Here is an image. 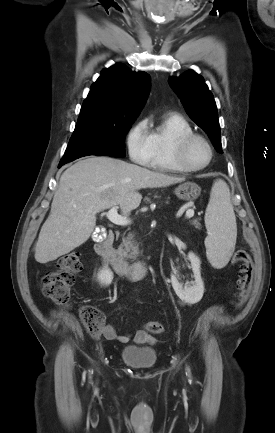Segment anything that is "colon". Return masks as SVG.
I'll list each match as a JSON object with an SVG mask.
<instances>
[{"mask_svg": "<svg viewBox=\"0 0 275 433\" xmlns=\"http://www.w3.org/2000/svg\"><path fill=\"white\" fill-rule=\"evenodd\" d=\"M234 261L240 265L234 304L240 306L246 302L251 293L253 262L245 250H237ZM81 269V254L78 251H70L62 255L56 261L54 269L43 277L44 296L59 306L69 307L71 288ZM80 317L87 333L97 337L104 322L103 314L95 306L87 304L82 306ZM145 330L148 333L158 334L163 332L164 327L161 322L152 321L145 325Z\"/></svg>", "mask_w": 275, "mask_h": 433, "instance_id": "colon-1", "label": "colon"}]
</instances>
